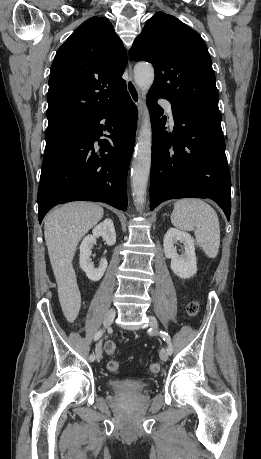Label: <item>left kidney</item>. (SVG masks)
<instances>
[{"label":"left kidney","instance_id":"5707ae66","mask_svg":"<svg viewBox=\"0 0 261 459\" xmlns=\"http://www.w3.org/2000/svg\"><path fill=\"white\" fill-rule=\"evenodd\" d=\"M181 242L185 251L179 255L175 244ZM164 253L166 258L171 259V270L182 279L192 277L197 272L194 240L190 234L176 228H170L163 240Z\"/></svg>","mask_w":261,"mask_h":459}]
</instances>
